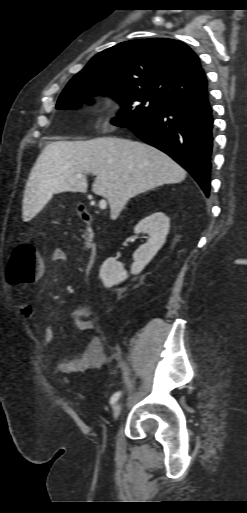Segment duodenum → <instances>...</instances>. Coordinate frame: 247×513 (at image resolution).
<instances>
[{
  "label": "duodenum",
  "mask_w": 247,
  "mask_h": 513,
  "mask_svg": "<svg viewBox=\"0 0 247 513\" xmlns=\"http://www.w3.org/2000/svg\"><path fill=\"white\" fill-rule=\"evenodd\" d=\"M79 212H80L81 218L83 219L84 222L91 223L92 215L85 205L81 204L79 206ZM97 257H98L97 252L91 251L90 262L95 263V261L97 260Z\"/></svg>",
  "instance_id": "1"
}]
</instances>
